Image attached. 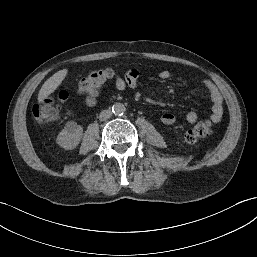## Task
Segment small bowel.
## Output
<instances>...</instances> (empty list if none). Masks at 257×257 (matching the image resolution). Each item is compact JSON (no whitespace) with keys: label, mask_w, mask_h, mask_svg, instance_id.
Segmentation results:
<instances>
[{"label":"small bowel","mask_w":257,"mask_h":257,"mask_svg":"<svg viewBox=\"0 0 257 257\" xmlns=\"http://www.w3.org/2000/svg\"><path fill=\"white\" fill-rule=\"evenodd\" d=\"M172 76L170 70H162L160 72L161 79H169ZM116 87L119 90L126 88L136 89L139 86V71L136 68L131 69L125 77L116 76ZM202 84L207 91L211 101V115L210 118L214 122H219L223 117V98L216 86L209 80H203ZM198 115L194 111H190L186 115V121L193 124L197 121ZM175 116L172 113H163L160 116V122L166 126H171L175 123Z\"/></svg>","instance_id":"obj_1"}]
</instances>
